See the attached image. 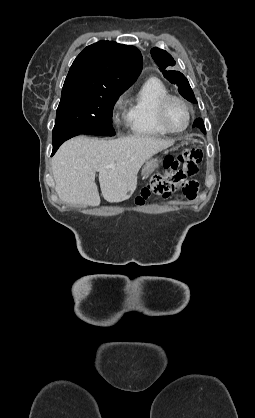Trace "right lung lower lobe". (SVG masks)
<instances>
[{
	"mask_svg": "<svg viewBox=\"0 0 255 418\" xmlns=\"http://www.w3.org/2000/svg\"><path fill=\"white\" fill-rule=\"evenodd\" d=\"M74 136H76V135L63 136L61 138H58V139L53 140V152H52V155L57 151V149L59 148V146L63 142H65L66 140H68V139H70V138H72Z\"/></svg>",
	"mask_w": 255,
	"mask_h": 418,
	"instance_id": "right-lung-lower-lobe-1",
	"label": "right lung lower lobe"
}]
</instances>
